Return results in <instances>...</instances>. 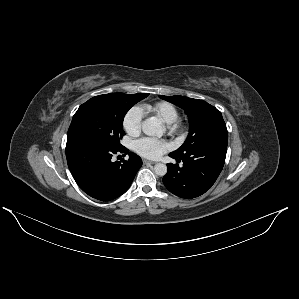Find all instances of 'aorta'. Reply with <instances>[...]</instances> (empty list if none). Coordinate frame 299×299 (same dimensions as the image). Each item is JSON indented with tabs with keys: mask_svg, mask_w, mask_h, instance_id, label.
I'll return each mask as SVG.
<instances>
[{
	"mask_svg": "<svg viewBox=\"0 0 299 299\" xmlns=\"http://www.w3.org/2000/svg\"><path fill=\"white\" fill-rule=\"evenodd\" d=\"M142 131L147 136H162L163 129L160 123L154 118L143 121ZM154 172L158 176H164L167 173V166L163 163H157L154 166Z\"/></svg>",
	"mask_w": 299,
	"mask_h": 299,
	"instance_id": "aorta-1",
	"label": "aorta"
}]
</instances>
